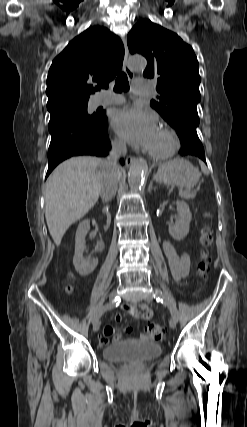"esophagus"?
<instances>
[{
	"mask_svg": "<svg viewBox=\"0 0 247 427\" xmlns=\"http://www.w3.org/2000/svg\"><path fill=\"white\" fill-rule=\"evenodd\" d=\"M122 42H123V45H124L123 70L127 74L128 78L130 80H132L134 78V72H133V70L128 65L129 52H128V47H127L126 39L122 38ZM135 160H136L135 157H133V156H127V158H126V165L130 166L132 163L135 162Z\"/></svg>",
	"mask_w": 247,
	"mask_h": 427,
	"instance_id": "34e87169",
	"label": "esophagus"
}]
</instances>
